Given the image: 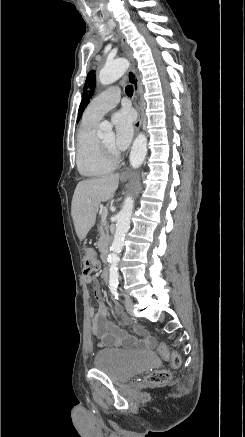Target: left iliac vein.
I'll return each instance as SVG.
<instances>
[{
	"mask_svg": "<svg viewBox=\"0 0 245 437\" xmlns=\"http://www.w3.org/2000/svg\"><path fill=\"white\" fill-rule=\"evenodd\" d=\"M125 308L131 316H134V304L128 295H125Z\"/></svg>",
	"mask_w": 245,
	"mask_h": 437,
	"instance_id": "obj_1",
	"label": "left iliac vein"
}]
</instances>
